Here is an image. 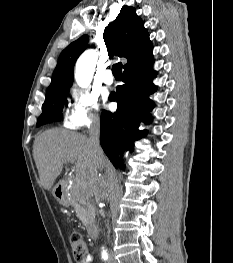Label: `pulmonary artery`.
Listing matches in <instances>:
<instances>
[{
  "instance_id": "obj_1",
  "label": "pulmonary artery",
  "mask_w": 233,
  "mask_h": 263,
  "mask_svg": "<svg viewBox=\"0 0 233 263\" xmlns=\"http://www.w3.org/2000/svg\"><path fill=\"white\" fill-rule=\"evenodd\" d=\"M103 82L106 85H111L114 82V78L112 75V71L111 70H105L104 74H103Z\"/></svg>"
}]
</instances>
